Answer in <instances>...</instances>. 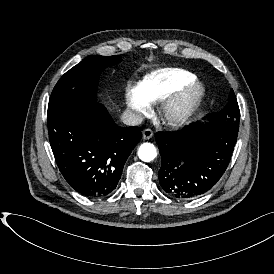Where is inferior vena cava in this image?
I'll return each instance as SVG.
<instances>
[{"label":"inferior vena cava","instance_id":"602c4592","mask_svg":"<svg viewBox=\"0 0 274 274\" xmlns=\"http://www.w3.org/2000/svg\"><path fill=\"white\" fill-rule=\"evenodd\" d=\"M144 116L140 113L125 110L122 114L123 123L129 126H138L144 121Z\"/></svg>","mask_w":274,"mask_h":274}]
</instances>
